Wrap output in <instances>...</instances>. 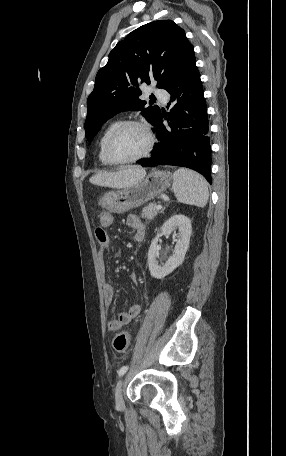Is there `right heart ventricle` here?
I'll return each mask as SVG.
<instances>
[{"label": "right heart ventricle", "instance_id": "1", "mask_svg": "<svg viewBox=\"0 0 286 456\" xmlns=\"http://www.w3.org/2000/svg\"><path fill=\"white\" fill-rule=\"evenodd\" d=\"M121 123L120 119L112 120L104 128L98 142V159L102 165L110 166L111 164L107 161L104 153L105 143L110 133Z\"/></svg>", "mask_w": 286, "mask_h": 456}]
</instances>
